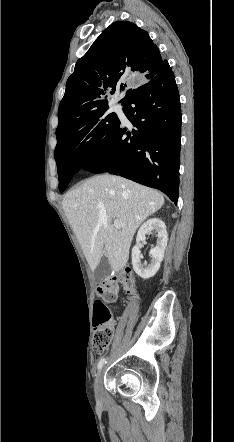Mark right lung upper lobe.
<instances>
[{
	"mask_svg": "<svg viewBox=\"0 0 234 442\" xmlns=\"http://www.w3.org/2000/svg\"><path fill=\"white\" fill-rule=\"evenodd\" d=\"M166 64L146 31L131 22L111 24L77 61L67 80L58 110L57 143L83 118L108 107L107 92L126 89L120 101L124 103L137 89L133 79L151 80Z\"/></svg>",
	"mask_w": 234,
	"mask_h": 442,
	"instance_id": "obj_1",
	"label": "right lung upper lobe"
}]
</instances>
